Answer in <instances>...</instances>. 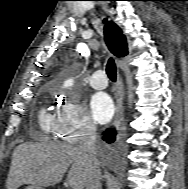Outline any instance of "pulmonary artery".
<instances>
[{
  "label": "pulmonary artery",
  "mask_w": 188,
  "mask_h": 189,
  "mask_svg": "<svg viewBox=\"0 0 188 189\" xmlns=\"http://www.w3.org/2000/svg\"><path fill=\"white\" fill-rule=\"evenodd\" d=\"M90 85L94 89H104L107 86L106 74L103 70L95 71L90 77Z\"/></svg>",
  "instance_id": "pulmonary-artery-1"
}]
</instances>
